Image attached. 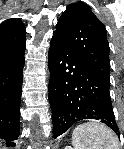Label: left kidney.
I'll return each instance as SVG.
<instances>
[{
	"instance_id": "obj_1",
	"label": "left kidney",
	"mask_w": 124,
	"mask_h": 149,
	"mask_svg": "<svg viewBox=\"0 0 124 149\" xmlns=\"http://www.w3.org/2000/svg\"><path fill=\"white\" fill-rule=\"evenodd\" d=\"M65 149H72V147H70V146H66Z\"/></svg>"
}]
</instances>
